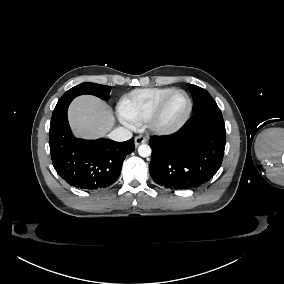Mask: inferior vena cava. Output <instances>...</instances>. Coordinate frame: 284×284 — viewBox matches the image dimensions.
I'll use <instances>...</instances> for the list:
<instances>
[{
    "label": "inferior vena cava",
    "instance_id": "obj_1",
    "mask_svg": "<svg viewBox=\"0 0 284 284\" xmlns=\"http://www.w3.org/2000/svg\"><path fill=\"white\" fill-rule=\"evenodd\" d=\"M109 137L114 141L124 142L132 138V133L124 127H117L111 131Z\"/></svg>",
    "mask_w": 284,
    "mask_h": 284
}]
</instances>
